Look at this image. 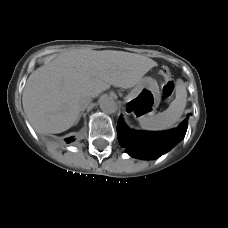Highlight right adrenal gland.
Returning <instances> with one entry per match:
<instances>
[{
	"instance_id": "obj_1",
	"label": "right adrenal gland",
	"mask_w": 228,
	"mask_h": 228,
	"mask_svg": "<svg viewBox=\"0 0 228 228\" xmlns=\"http://www.w3.org/2000/svg\"><path fill=\"white\" fill-rule=\"evenodd\" d=\"M83 112H84V111L80 112V114H79V116H78V119H77V121H76V124L79 122V120H80V118H81Z\"/></svg>"
}]
</instances>
